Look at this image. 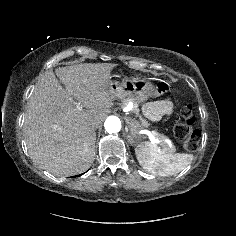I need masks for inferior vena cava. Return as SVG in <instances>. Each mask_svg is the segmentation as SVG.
I'll return each instance as SVG.
<instances>
[{
	"mask_svg": "<svg viewBox=\"0 0 236 236\" xmlns=\"http://www.w3.org/2000/svg\"><path fill=\"white\" fill-rule=\"evenodd\" d=\"M100 123L97 122V121H92L91 124H90V127L93 129V130H96L98 127H99Z\"/></svg>",
	"mask_w": 236,
	"mask_h": 236,
	"instance_id": "obj_1",
	"label": "inferior vena cava"
}]
</instances>
